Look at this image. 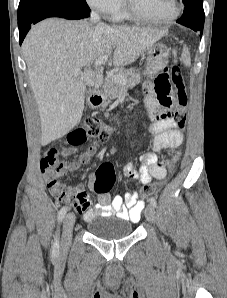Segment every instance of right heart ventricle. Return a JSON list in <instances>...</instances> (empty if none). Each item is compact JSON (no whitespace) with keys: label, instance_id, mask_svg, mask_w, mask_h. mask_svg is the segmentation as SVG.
<instances>
[{"label":"right heart ventricle","instance_id":"e07e8e85","mask_svg":"<svg viewBox=\"0 0 227 298\" xmlns=\"http://www.w3.org/2000/svg\"><path fill=\"white\" fill-rule=\"evenodd\" d=\"M128 18H130V17L121 8L113 15L114 20H123V19H128Z\"/></svg>","mask_w":227,"mask_h":298}]
</instances>
